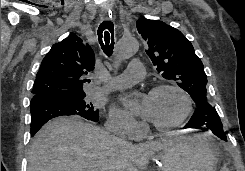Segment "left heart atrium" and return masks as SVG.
I'll return each instance as SVG.
<instances>
[{"label":"left heart atrium","mask_w":245,"mask_h":171,"mask_svg":"<svg viewBox=\"0 0 245 171\" xmlns=\"http://www.w3.org/2000/svg\"><path fill=\"white\" fill-rule=\"evenodd\" d=\"M122 102L126 106V108H128L129 110L135 112L136 114L142 116L143 118L147 120H151L152 110H151L149 96H143L141 98V101L138 107H135L133 99L129 96L124 97L122 99Z\"/></svg>","instance_id":"obj_1"}]
</instances>
